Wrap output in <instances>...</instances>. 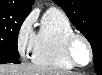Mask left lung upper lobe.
I'll return each instance as SVG.
<instances>
[{
	"mask_svg": "<svg viewBox=\"0 0 102 75\" xmlns=\"http://www.w3.org/2000/svg\"><path fill=\"white\" fill-rule=\"evenodd\" d=\"M70 21L88 39L92 46L94 68L102 74V1L101 0H53Z\"/></svg>",
	"mask_w": 102,
	"mask_h": 75,
	"instance_id": "left-lung-upper-lobe-1",
	"label": "left lung upper lobe"
}]
</instances>
